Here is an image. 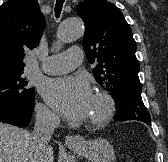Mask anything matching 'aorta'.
Returning a JSON list of instances; mask_svg holds the SVG:
<instances>
[{"label":"aorta","instance_id":"aorta-1","mask_svg":"<svg viewBox=\"0 0 168 162\" xmlns=\"http://www.w3.org/2000/svg\"><path fill=\"white\" fill-rule=\"evenodd\" d=\"M84 32L83 23L78 18L67 19L60 25L57 37L62 43L73 42L79 39Z\"/></svg>","mask_w":168,"mask_h":162}]
</instances>
